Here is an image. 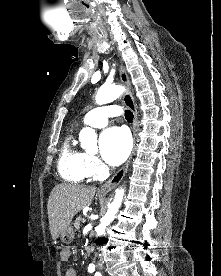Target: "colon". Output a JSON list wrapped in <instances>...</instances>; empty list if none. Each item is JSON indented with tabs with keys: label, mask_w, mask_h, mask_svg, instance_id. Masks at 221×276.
I'll return each mask as SVG.
<instances>
[{
	"label": "colon",
	"mask_w": 221,
	"mask_h": 276,
	"mask_svg": "<svg viewBox=\"0 0 221 276\" xmlns=\"http://www.w3.org/2000/svg\"><path fill=\"white\" fill-rule=\"evenodd\" d=\"M55 251H60L61 254L63 253V251L67 250V247L65 246V244H56V246L54 247Z\"/></svg>",
	"instance_id": "colon-1"
}]
</instances>
